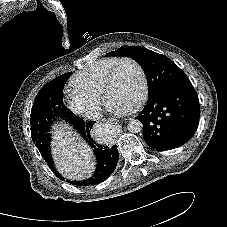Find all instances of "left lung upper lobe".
Masks as SVG:
<instances>
[{"label": "left lung upper lobe", "mask_w": 227, "mask_h": 227, "mask_svg": "<svg viewBox=\"0 0 227 227\" xmlns=\"http://www.w3.org/2000/svg\"><path fill=\"white\" fill-rule=\"evenodd\" d=\"M107 56H128L143 68L149 86V97L166 88L189 81L185 73L168 57L140 46H122Z\"/></svg>", "instance_id": "left-lung-upper-lobe-1"}]
</instances>
